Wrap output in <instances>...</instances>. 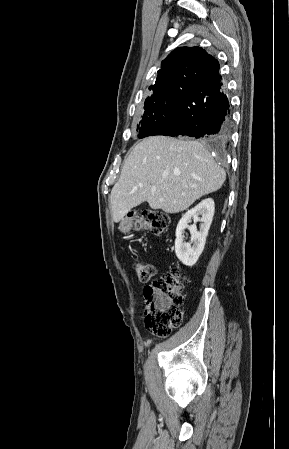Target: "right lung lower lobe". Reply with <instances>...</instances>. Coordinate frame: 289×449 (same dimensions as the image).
I'll use <instances>...</instances> for the list:
<instances>
[{"mask_svg":"<svg viewBox=\"0 0 289 449\" xmlns=\"http://www.w3.org/2000/svg\"><path fill=\"white\" fill-rule=\"evenodd\" d=\"M172 96L176 117L161 124L153 135H186L214 141L228 138L230 105L219 72L207 80L177 81L172 88Z\"/></svg>","mask_w":289,"mask_h":449,"instance_id":"1","label":"right lung lower lobe"}]
</instances>
